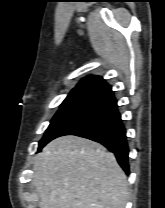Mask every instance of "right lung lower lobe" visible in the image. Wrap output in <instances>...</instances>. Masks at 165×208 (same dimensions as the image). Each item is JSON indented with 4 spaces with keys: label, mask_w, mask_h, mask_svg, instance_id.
<instances>
[{
    "label": "right lung lower lobe",
    "mask_w": 165,
    "mask_h": 208,
    "mask_svg": "<svg viewBox=\"0 0 165 208\" xmlns=\"http://www.w3.org/2000/svg\"><path fill=\"white\" fill-rule=\"evenodd\" d=\"M117 108L113 96L93 107L58 137L76 135L101 143L115 154L119 165L129 174L126 131Z\"/></svg>",
    "instance_id": "1"
}]
</instances>
